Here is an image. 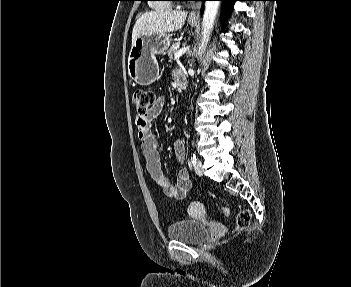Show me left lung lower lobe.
<instances>
[{
    "instance_id": "0a47b994",
    "label": "left lung lower lobe",
    "mask_w": 351,
    "mask_h": 287,
    "mask_svg": "<svg viewBox=\"0 0 351 287\" xmlns=\"http://www.w3.org/2000/svg\"><path fill=\"white\" fill-rule=\"evenodd\" d=\"M198 1H206V0H198ZM219 1H222L224 3L223 11H224V14L227 16L228 12L231 9L232 3L235 1H243V0H219Z\"/></svg>"
}]
</instances>
